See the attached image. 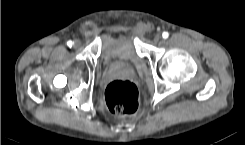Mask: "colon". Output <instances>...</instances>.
Instances as JSON below:
<instances>
[{
    "instance_id": "colon-1",
    "label": "colon",
    "mask_w": 245,
    "mask_h": 145,
    "mask_svg": "<svg viewBox=\"0 0 245 145\" xmlns=\"http://www.w3.org/2000/svg\"><path fill=\"white\" fill-rule=\"evenodd\" d=\"M141 29H148L149 24L140 20L137 23ZM105 101L108 108L119 116L131 114L138 109V91L129 80H114L106 88Z\"/></svg>"
}]
</instances>
